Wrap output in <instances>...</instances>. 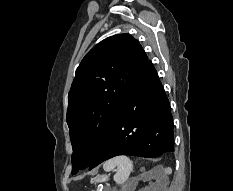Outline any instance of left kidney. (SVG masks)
Returning a JSON list of instances; mask_svg holds the SVG:
<instances>
[{
    "mask_svg": "<svg viewBox=\"0 0 233 191\" xmlns=\"http://www.w3.org/2000/svg\"><path fill=\"white\" fill-rule=\"evenodd\" d=\"M140 178L144 179V180H150L151 178H155L157 180L158 175L154 172H150V173H148L147 176L141 175ZM156 189H157L156 185L151 184L147 189L142 190V191H157Z\"/></svg>",
    "mask_w": 233,
    "mask_h": 191,
    "instance_id": "left-kidney-1",
    "label": "left kidney"
}]
</instances>
